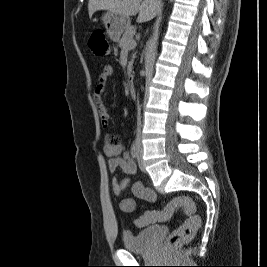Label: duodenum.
Listing matches in <instances>:
<instances>
[{
    "mask_svg": "<svg viewBox=\"0 0 267 267\" xmlns=\"http://www.w3.org/2000/svg\"><path fill=\"white\" fill-rule=\"evenodd\" d=\"M128 89H129L130 95L132 97H135L136 96V88H135V84H134V78L132 75L128 79Z\"/></svg>",
    "mask_w": 267,
    "mask_h": 267,
    "instance_id": "obj_1",
    "label": "duodenum"
}]
</instances>
